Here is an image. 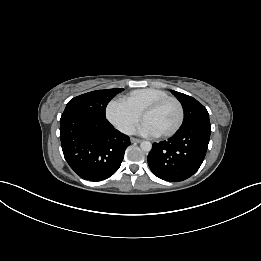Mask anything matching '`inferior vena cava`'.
Here are the masks:
<instances>
[{
  "instance_id": "obj_1",
  "label": "inferior vena cava",
  "mask_w": 261,
  "mask_h": 261,
  "mask_svg": "<svg viewBox=\"0 0 261 261\" xmlns=\"http://www.w3.org/2000/svg\"><path fill=\"white\" fill-rule=\"evenodd\" d=\"M121 131L124 133V134H127V135H134L135 134V128L132 127V126H125L121 129Z\"/></svg>"
}]
</instances>
